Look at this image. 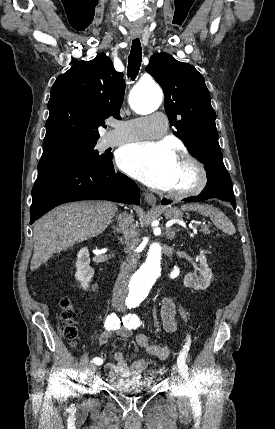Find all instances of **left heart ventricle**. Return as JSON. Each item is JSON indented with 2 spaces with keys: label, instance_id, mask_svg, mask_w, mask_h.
Segmentation results:
<instances>
[{
  "label": "left heart ventricle",
  "instance_id": "left-heart-ventricle-1",
  "mask_svg": "<svg viewBox=\"0 0 275 429\" xmlns=\"http://www.w3.org/2000/svg\"><path fill=\"white\" fill-rule=\"evenodd\" d=\"M193 168L181 160H177L174 178L169 190H183L191 187L195 181Z\"/></svg>",
  "mask_w": 275,
  "mask_h": 429
}]
</instances>
